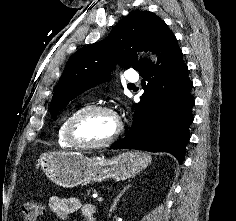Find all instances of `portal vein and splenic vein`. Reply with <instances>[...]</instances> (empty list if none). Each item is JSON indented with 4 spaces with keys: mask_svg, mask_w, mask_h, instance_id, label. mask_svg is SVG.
Segmentation results:
<instances>
[{
    "mask_svg": "<svg viewBox=\"0 0 236 221\" xmlns=\"http://www.w3.org/2000/svg\"><path fill=\"white\" fill-rule=\"evenodd\" d=\"M97 201H98V202H102V201H103V198H102V197H97Z\"/></svg>",
    "mask_w": 236,
    "mask_h": 221,
    "instance_id": "obj_1",
    "label": "portal vein and splenic vein"
}]
</instances>
